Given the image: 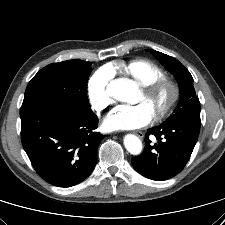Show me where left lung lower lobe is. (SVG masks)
<instances>
[{
  "mask_svg": "<svg viewBox=\"0 0 225 225\" xmlns=\"http://www.w3.org/2000/svg\"><path fill=\"white\" fill-rule=\"evenodd\" d=\"M200 122L179 121L148 129L145 148L132 158L133 167L146 178L163 181L181 172L188 162L198 139ZM158 143L152 145L149 135Z\"/></svg>",
  "mask_w": 225,
  "mask_h": 225,
  "instance_id": "obj_1",
  "label": "left lung lower lobe"
}]
</instances>
